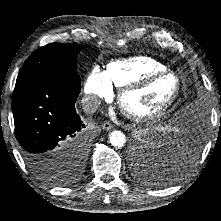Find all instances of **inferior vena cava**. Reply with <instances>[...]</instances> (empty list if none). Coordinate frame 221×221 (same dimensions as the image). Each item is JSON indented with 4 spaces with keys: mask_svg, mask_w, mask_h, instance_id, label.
<instances>
[{
    "mask_svg": "<svg viewBox=\"0 0 221 221\" xmlns=\"http://www.w3.org/2000/svg\"><path fill=\"white\" fill-rule=\"evenodd\" d=\"M101 101L94 96H88L82 99V107L85 113L93 114L100 107Z\"/></svg>",
    "mask_w": 221,
    "mask_h": 221,
    "instance_id": "602c4592",
    "label": "inferior vena cava"
}]
</instances>
